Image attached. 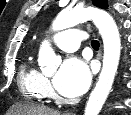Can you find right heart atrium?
<instances>
[{"mask_svg": "<svg viewBox=\"0 0 131 115\" xmlns=\"http://www.w3.org/2000/svg\"><path fill=\"white\" fill-rule=\"evenodd\" d=\"M43 89H44V92H45L46 94H50V92H51V87H50V84H49L48 80L45 79V78H44V81H43Z\"/></svg>", "mask_w": 131, "mask_h": 115, "instance_id": "obj_1", "label": "right heart atrium"}]
</instances>
